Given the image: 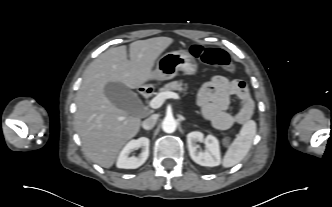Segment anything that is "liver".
<instances>
[{
  "mask_svg": "<svg viewBox=\"0 0 332 207\" xmlns=\"http://www.w3.org/2000/svg\"><path fill=\"white\" fill-rule=\"evenodd\" d=\"M173 43L169 37L138 40L127 47L110 48L85 69L77 92L75 129L85 155L104 168L113 166L120 150L140 130L141 119L116 107L106 97L109 82L136 89L154 76L153 66L160 54Z\"/></svg>",
  "mask_w": 332,
  "mask_h": 207,
  "instance_id": "liver-1",
  "label": "liver"
}]
</instances>
